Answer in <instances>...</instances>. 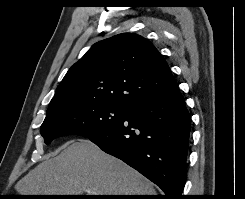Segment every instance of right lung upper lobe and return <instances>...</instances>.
Segmentation results:
<instances>
[{
	"label": "right lung upper lobe",
	"mask_w": 245,
	"mask_h": 199,
	"mask_svg": "<svg viewBox=\"0 0 245 199\" xmlns=\"http://www.w3.org/2000/svg\"><path fill=\"white\" fill-rule=\"evenodd\" d=\"M177 86L165 59L150 41L123 33L94 44L68 70L47 116L87 103L130 108L164 96Z\"/></svg>",
	"instance_id": "right-lung-upper-lobe-1"
}]
</instances>
